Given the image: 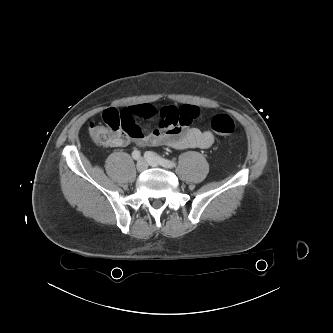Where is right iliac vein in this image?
<instances>
[{
  "label": "right iliac vein",
  "instance_id": "obj_1",
  "mask_svg": "<svg viewBox=\"0 0 333 333\" xmlns=\"http://www.w3.org/2000/svg\"><path fill=\"white\" fill-rule=\"evenodd\" d=\"M137 170L138 172H143L147 168V162L145 159L141 158L137 162Z\"/></svg>",
  "mask_w": 333,
  "mask_h": 333
}]
</instances>
